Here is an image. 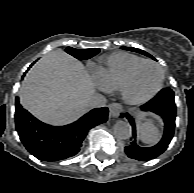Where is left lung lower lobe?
Listing matches in <instances>:
<instances>
[{
	"instance_id": "1",
	"label": "left lung lower lobe",
	"mask_w": 194,
	"mask_h": 193,
	"mask_svg": "<svg viewBox=\"0 0 194 193\" xmlns=\"http://www.w3.org/2000/svg\"><path fill=\"white\" fill-rule=\"evenodd\" d=\"M140 109L161 116L165 124L163 137L157 145L143 148L133 141L130 145L125 147V153L129 158L139 161H148L162 154L167 149L173 137L176 118L174 92L169 88H164L155 98L142 105ZM120 117H126L128 119L132 125L133 136L136 137L134 118L128 113H122Z\"/></svg>"
}]
</instances>
